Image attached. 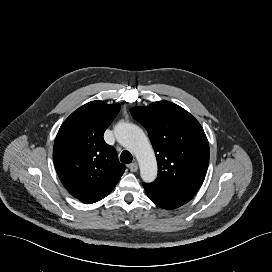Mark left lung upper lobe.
Returning a JSON list of instances; mask_svg holds the SVG:
<instances>
[{"label":"left lung upper lobe","mask_w":272,"mask_h":272,"mask_svg":"<svg viewBox=\"0 0 272 272\" xmlns=\"http://www.w3.org/2000/svg\"><path fill=\"white\" fill-rule=\"evenodd\" d=\"M148 131L158 163L157 184L196 193L209 164V143L200 123L185 109L169 102L131 108Z\"/></svg>","instance_id":"left-lung-upper-lobe-1"}]
</instances>
